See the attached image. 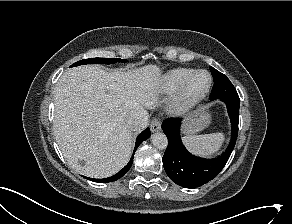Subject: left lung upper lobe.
I'll list each match as a JSON object with an SVG mask.
<instances>
[{
  "label": "left lung upper lobe",
  "mask_w": 292,
  "mask_h": 224,
  "mask_svg": "<svg viewBox=\"0 0 292 224\" xmlns=\"http://www.w3.org/2000/svg\"><path fill=\"white\" fill-rule=\"evenodd\" d=\"M210 71L214 79V85L210 95L211 100L220 98L223 95L236 93V89L224 74L220 73L213 67H210Z\"/></svg>",
  "instance_id": "left-lung-upper-lobe-1"
}]
</instances>
